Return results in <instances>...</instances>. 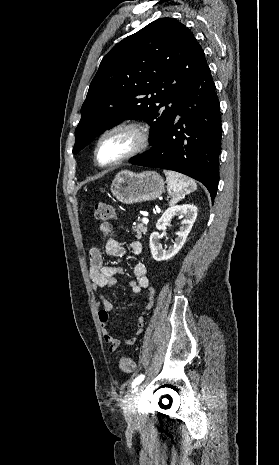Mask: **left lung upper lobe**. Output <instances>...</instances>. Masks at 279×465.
<instances>
[{
  "label": "left lung upper lobe",
  "instance_id": "obj_1",
  "mask_svg": "<svg viewBox=\"0 0 279 465\" xmlns=\"http://www.w3.org/2000/svg\"><path fill=\"white\" fill-rule=\"evenodd\" d=\"M203 58L192 32L174 18L157 19L123 39L90 84L73 152L125 119L148 121L153 146L174 120Z\"/></svg>",
  "mask_w": 279,
  "mask_h": 465
}]
</instances>
